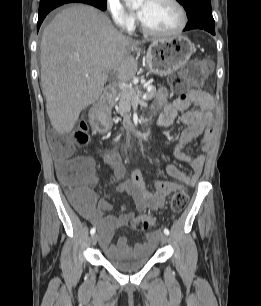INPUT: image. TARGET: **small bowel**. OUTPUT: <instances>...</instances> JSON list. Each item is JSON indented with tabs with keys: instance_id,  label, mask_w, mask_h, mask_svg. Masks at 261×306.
Here are the masks:
<instances>
[{
	"instance_id": "c3829d8e",
	"label": "small bowel",
	"mask_w": 261,
	"mask_h": 306,
	"mask_svg": "<svg viewBox=\"0 0 261 306\" xmlns=\"http://www.w3.org/2000/svg\"><path fill=\"white\" fill-rule=\"evenodd\" d=\"M168 91L161 88L157 93L156 105L162 108L158 117V126L166 128L177 118L185 125V129L179 139L178 144L173 150L174 157L185 163H189L192 168V174L187 175L175 165H168L166 171L169 176L178 182L165 181L159 178H153L151 183L154 192L147 187L145 180L139 170L131 173L129 180L120 183L116 191H127L135 201L138 210H159L165 205L166 198L181 189L183 185L193 186L199 179L205 162V157L210 149L213 134L215 131V122L212 116L213 101L204 91L197 90L193 92L186 100L177 98L172 102H167ZM198 105L200 111H186L191 105ZM200 139L202 153L194 158L184 152V147L193 140ZM89 167L88 183L97 182L95 175V162L90 157H83ZM105 164L113 173L117 180L125 176V168L121 164V156L117 149H110L104 155ZM68 162L57 160L56 167L59 170ZM112 205L106 199L96 200L95 193L88 188L87 195L81 206L83 215L94 224L99 232L100 243L106 252H116V247L124 246V242L112 245V239L116 229L126 225L133 217L132 213L121 214L118 216L110 215ZM158 233L152 232L147 235V244L136 246V248L153 247L158 241Z\"/></svg>"
}]
</instances>
